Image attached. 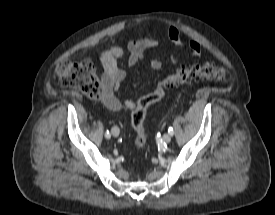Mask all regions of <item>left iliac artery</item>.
Returning <instances> with one entry per match:
<instances>
[{
  "label": "left iliac artery",
  "instance_id": "1",
  "mask_svg": "<svg viewBox=\"0 0 275 215\" xmlns=\"http://www.w3.org/2000/svg\"><path fill=\"white\" fill-rule=\"evenodd\" d=\"M168 133L172 136L174 134V130L172 127H169Z\"/></svg>",
  "mask_w": 275,
  "mask_h": 215
}]
</instances>
